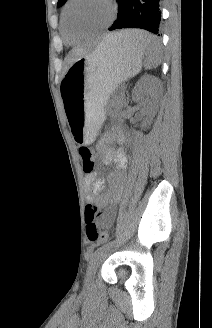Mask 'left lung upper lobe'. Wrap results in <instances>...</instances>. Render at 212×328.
<instances>
[{"label":"left lung upper lobe","mask_w":212,"mask_h":328,"mask_svg":"<svg viewBox=\"0 0 212 328\" xmlns=\"http://www.w3.org/2000/svg\"><path fill=\"white\" fill-rule=\"evenodd\" d=\"M67 0H59L57 6L61 7Z\"/></svg>","instance_id":"1"}]
</instances>
